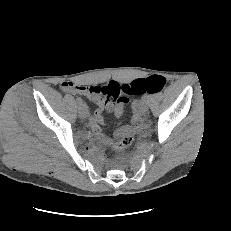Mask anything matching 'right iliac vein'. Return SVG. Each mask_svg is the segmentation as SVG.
Masks as SVG:
<instances>
[{"mask_svg":"<svg viewBox=\"0 0 231 231\" xmlns=\"http://www.w3.org/2000/svg\"><path fill=\"white\" fill-rule=\"evenodd\" d=\"M78 114L81 118H85L87 117L88 114V110H87V106L85 104H80L78 106Z\"/></svg>","mask_w":231,"mask_h":231,"instance_id":"63e3f726","label":"right iliac vein"}]
</instances>
